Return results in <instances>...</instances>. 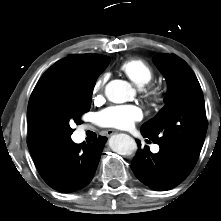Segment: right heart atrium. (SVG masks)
Here are the masks:
<instances>
[{"label": "right heart atrium", "instance_id": "right-heart-atrium-1", "mask_svg": "<svg viewBox=\"0 0 221 221\" xmlns=\"http://www.w3.org/2000/svg\"><path fill=\"white\" fill-rule=\"evenodd\" d=\"M105 77L98 78L93 85V93L96 97H101L105 85Z\"/></svg>", "mask_w": 221, "mask_h": 221}]
</instances>
